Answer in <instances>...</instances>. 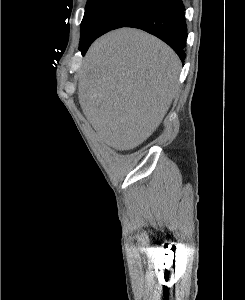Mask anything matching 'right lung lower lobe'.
Wrapping results in <instances>:
<instances>
[{
    "mask_svg": "<svg viewBox=\"0 0 245 300\" xmlns=\"http://www.w3.org/2000/svg\"><path fill=\"white\" fill-rule=\"evenodd\" d=\"M142 29L166 42L180 57H185L187 27L182 0H165L125 25ZM90 46V45H89ZM89 46L80 47L84 55Z\"/></svg>",
    "mask_w": 245,
    "mask_h": 300,
    "instance_id": "1",
    "label": "right lung lower lobe"
}]
</instances>
